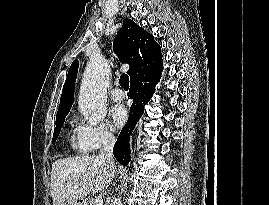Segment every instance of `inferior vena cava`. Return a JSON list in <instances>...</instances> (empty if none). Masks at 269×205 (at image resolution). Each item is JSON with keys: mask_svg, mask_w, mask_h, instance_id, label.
Masks as SVG:
<instances>
[{"mask_svg": "<svg viewBox=\"0 0 269 205\" xmlns=\"http://www.w3.org/2000/svg\"><path fill=\"white\" fill-rule=\"evenodd\" d=\"M103 147L100 150L99 158L106 160L112 168H115L113 161V146L115 143V137L113 134L106 132L103 136Z\"/></svg>", "mask_w": 269, "mask_h": 205, "instance_id": "602c4592", "label": "inferior vena cava"}]
</instances>
